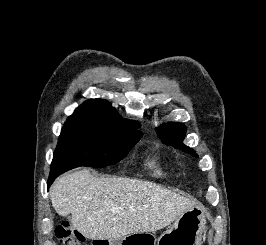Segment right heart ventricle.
<instances>
[{"label": "right heart ventricle", "mask_w": 266, "mask_h": 245, "mask_svg": "<svg viewBox=\"0 0 266 245\" xmlns=\"http://www.w3.org/2000/svg\"><path fill=\"white\" fill-rule=\"evenodd\" d=\"M146 165L150 174L160 180L170 179L177 172V164L173 159L156 153L150 157Z\"/></svg>", "instance_id": "obj_1"}]
</instances>
